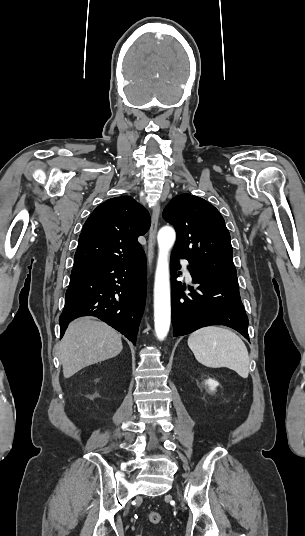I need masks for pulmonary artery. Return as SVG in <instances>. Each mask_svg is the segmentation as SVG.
<instances>
[{"mask_svg": "<svg viewBox=\"0 0 305 536\" xmlns=\"http://www.w3.org/2000/svg\"><path fill=\"white\" fill-rule=\"evenodd\" d=\"M182 267H183V270H184V273H185L187 279H188L189 281H191V280H192V275H191V272H190V270H189V264H188V262H187V261H184V262L182 263Z\"/></svg>", "mask_w": 305, "mask_h": 536, "instance_id": "obj_1", "label": "pulmonary artery"}]
</instances>
